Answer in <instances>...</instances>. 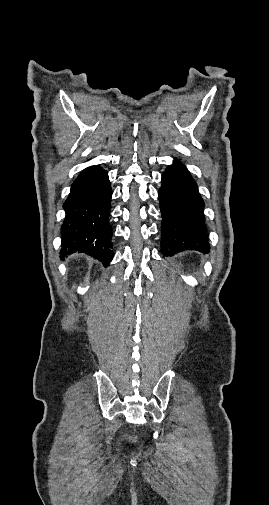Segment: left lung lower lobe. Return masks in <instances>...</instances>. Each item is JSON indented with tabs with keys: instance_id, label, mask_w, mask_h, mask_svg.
<instances>
[{
	"instance_id": "1",
	"label": "left lung lower lobe",
	"mask_w": 269,
	"mask_h": 505,
	"mask_svg": "<svg viewBox=\"0 0 269 505\" xmlns=\"http://www.w3.org/2000/svg\"><path fill=\"white\" fill-rule=\"evenodd\" d=\"M162 214V253L185 250L209 252L204 202L188 170L175 161L162 175L159 190Z\"/></svg>"
}]
</instances>
